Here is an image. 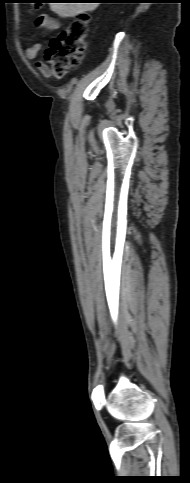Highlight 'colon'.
Here are the masks:
<instances>
[{
    "label": "colon",
    "mask_w": 190,
    "mask_h": 483,
    "mask_svg": "<svg viewBox=\"0 0 190 483\" xmlns=\"http://www.w3.org/2000/svg\"><path fill=\"white\" fill-rule=\"evenodd\" d=\"M88 31V15L79 14L72 20L45 51L46 74L54 78L64 77L77 67L84 56Z\"/></svg>",
    "instance_id": "5ec220e1"
}]
</instances>
